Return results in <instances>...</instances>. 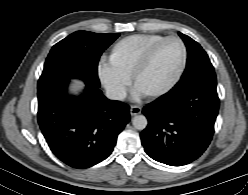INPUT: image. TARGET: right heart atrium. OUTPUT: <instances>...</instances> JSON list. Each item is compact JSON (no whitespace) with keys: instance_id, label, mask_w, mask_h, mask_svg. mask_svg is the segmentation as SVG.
Masks as SVG:
<instances>
[{"instance_id":"obj_1","label":"right heart atrium","mask_w":248,"mask_h":195,"mask_svg":"<svg viewBox=\"0 0 248 195\" xmlns=\"http://www.w3.org/2000/svg\"><path fill=\"white\" fill-rule=\"evenodd\" d=\"M99 76L104 87L111 92L122 93L127 88V78L116 72L111 63L100 68Z\"/></svg>"}]
</instances>
